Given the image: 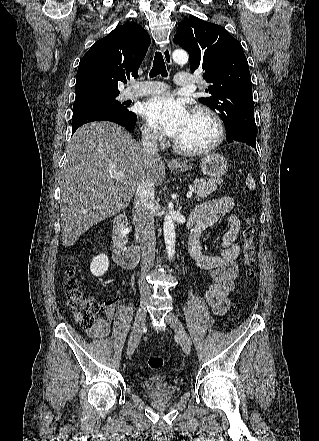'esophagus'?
Masks as SVG:
<instances>
[{"label": "esophagus", "instance_id": "34e87169", "mask_svg": "<svg viewBox=\"0 0 319 441\" xmlns=\"http://www.w3.org/2000/svg\"><path fill=\"white\" fill-rule=\"evenodd\" d=\"M162 53H163V57H164V60H165L166 64L171 66L173 64V62H172L170 48L168 46L164 47ZM170 164L178 165V164H180V161L172 159L170 161Z\"/></svg>", "mask_w": 319, "mask_h": 441}]
</instances>
